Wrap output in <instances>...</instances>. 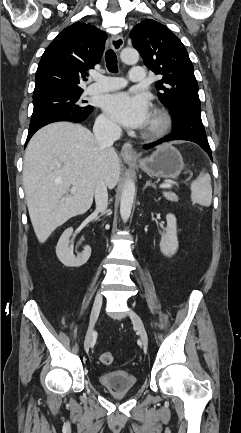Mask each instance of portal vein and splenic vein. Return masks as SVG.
I'll list each match as a JSON object with an SVG mask.
<instances>
[{
  "label": "portal vein and splenic vein",
  "mask_w": 241,
  "mask_h": 433,
  "mask_svg": "<svg viewBox=\"0 0 241 433\" xmlns=\"http://www.w3.org/2000/svg\"><path fill=\"white\" fill-rule=\"evenodd\" d=\"M160 188H163V189H170V188H172V184H170V183H164V184H161V185H160ZM70 192H71V193H75V192H76V187L72 186Z\"/></svg>",
  "instance_id": "18ae733b"
}]
</instances>
